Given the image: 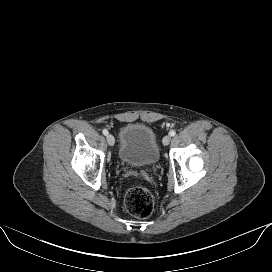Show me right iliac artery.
I'll list each match as a JSON object with an SVG mask.
<instances>
[{"mask_svg": "<svg viewBox=\"0 0 272 272\" xmlns=\"http://www.w3.org/2000/svg\"><path fill=\"white\" fill-rule=\"evenodd\" d=\"M102 132H103V134H104L105 136L108 135V131H107L106 129H104Z\"/></svg>", "mask_w": 272, "mask_h": 272, "instance_id": "obj_1", "label": "right iliac artery"}]
</instances>
